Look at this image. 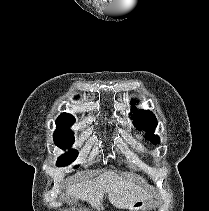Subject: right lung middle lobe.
I'll use <instances>...</instances> for the list:
<instances>
[{
  "instance_id": "obj_1",
  "label": "right lung middle lobe",
  "mask_w": 209,
  "mask_h": 211,
  "mask_svg": "<svg viewBox=\"0 0 209 211\" xmlns=\"http://www.w3.org/2000/svg\"><path fill=\"white\" fill-rule=\"evenodd\" d=\"M54 143L61 149H69L74 143L75 139L73 132L69 128H57L54 132ZM77 150H69L58 158L57 166L63 167L72 163L77 158ZM78 166H75V168Z\"/></svg>"
}]
</instances>
